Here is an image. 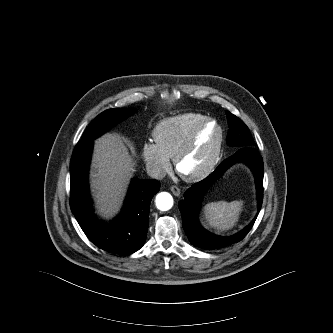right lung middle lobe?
Masks as SVG:
<instances>
[{"instance_id":"1","label":"right lung middle lobe","mask_w":333,"mask_h":333,"mask_svg":"<svg viewBox=\"0 0 333 333\" xmlns=\"http://www.w3.org/2000/svg\"><path fill=\"white\" fill-rule=\"evenodd\" d=\"M133 113L134 110L130 108L109 109L102 112L90 123L81 141H93L114 124L131 116Z\"/></svg>"}]
</instances>
